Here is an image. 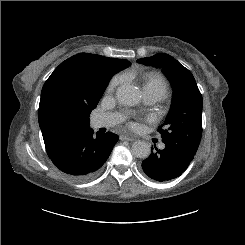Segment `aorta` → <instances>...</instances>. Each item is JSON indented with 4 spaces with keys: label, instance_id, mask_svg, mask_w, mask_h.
Segmentation results:
<instances>
[{
    "label": "aorta",
    "instance_id": "aorta-1",
    "mask_svg": "<svg viewBox=\"0 0 245 245\" xmlns=\"http://www.w3.org/2000/svg\"><path fill=\"white\" fill-rule=\"evenodd\" d=\"M117 100L128 106L136 105L140 102L141 93L140 90L132 85H121L116 91ZM151 153V147L146 141H135L132 144V154L136 158L145 159L149 157Z\"/></svg>",
    "mask_w": 245,
    "mask_h": 245
}]
</instances>
